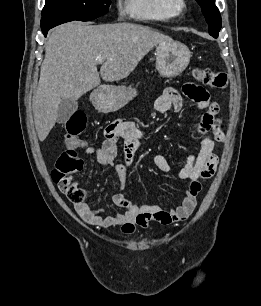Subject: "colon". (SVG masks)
I'll use <instances>...</instances> for the list:
<instances>
[{
    "instance_id": "obj_1",
    "label": "colon",
    "mask_w": 261,
    "mask_h": 306,
    "mask_svg": "<svg viewBox=\"0 0 261 306\" xmlns=\"http://www.w3.org/2000/svg\"><path fill=\"white\" fill-rule=\"evenodd\" d=\"M194 76L203 84L214 90L224 89L227 85V75L215 72L209 68L198 67L194 70ZM86 128V116L81 111L74 112L65 123L66 149L59 156L51 175L70 201L81 203L84 201L83 191L72 181L71 175L79 172L83 167V161L76 152L79 136Z\"/></svg>"
}]
</instances>
